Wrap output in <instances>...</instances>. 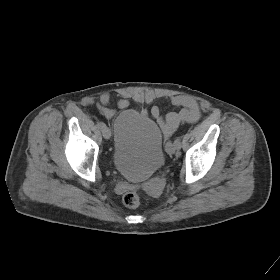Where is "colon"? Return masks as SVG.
<instances>
[{
    "instance_id": "colon-1",
    "label": "colon",
    "mask_w": 280,
    "mask_h": 280,
    "mask_svg": "<svg viewBox=\"0 0 280 280\" xmlns=\"http://www.w3.org/2000/svg\"><path fill=\"white\" fill-rule=\"evenodd\" d=\"M124 204L129 208H135L140 204V194L135 191H129L123 196Z\"/></svg>"
}]
</instances>
